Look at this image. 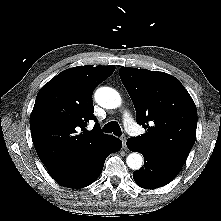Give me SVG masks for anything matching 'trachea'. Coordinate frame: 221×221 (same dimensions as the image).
Returning a JSON list of instances; mask_svg holds the SVG:
<instances>
[{
	"label": "trachea",
	"mask_w": 221,
	"mask_h": 221,
	"mask_svg": "<svg viewBox=\"0 0 221 221\" xmlns=\"http://www.w3.org/2000/svg\"><path fill=\"white\" fill-rule=\"evenodd\" d=\"M103 131L105 133H113L116 136H120L122 134L119 124L115 121H111V122L107 123L103 127Z\"/></svg>",
	"instance_id": "obj_1"
}]
</instances>
